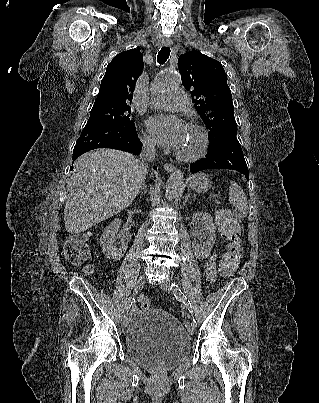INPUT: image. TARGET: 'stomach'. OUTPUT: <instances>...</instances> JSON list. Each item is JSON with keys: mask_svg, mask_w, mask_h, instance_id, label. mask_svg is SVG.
Listing matches in <instances>:
<instances>
[{"mask_svg": "<svg viewBox=\"0 0 319 403\" xmlns=\"http://www.w3.org/2000/svg\"><path fill=\"white\" fill-rule=\"evenodd\" d=\"M190 188L198 193H205L211 188V181L203 172L192 175L189 178Z\"/></svg>", "mask_w": 319, "mask_h": 403, "instance_id": "0dacf381", "label": "stomach"}]
</instances>
